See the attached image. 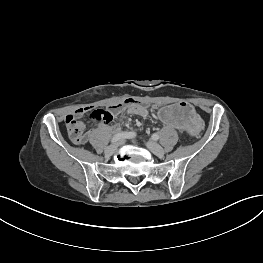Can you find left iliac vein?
<instances>
[{
	"mask_svg": "<svg viewBox=\"0 0 263 263\" xmlns=\"http://www.w3.org/2000/svg\"><path fill=\"white\" fill-rule=\"evenodd\" d=\"M146 146L156 156L162 157L164 155V149L154 141H148Z\"/></svg>",
	"mask_w": 263,
	"mask_h": 263,
	"instance_id": "left-iliac-vein-1",
	"label": "left iliac vein"
}]
</instances>
